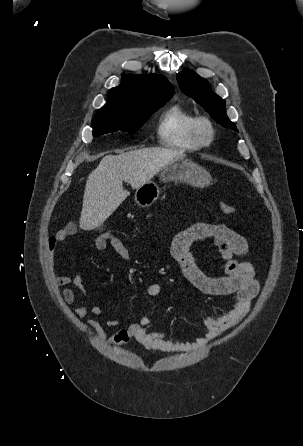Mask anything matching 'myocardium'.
<instances>
[{"label": "myocardium", "instance_id": "obj_1", "mask_svg": "<svg viewBox=\"0 0 303 446\" xmlns=\"http://www.w3.org/2000/svg\"><path fill=\"white\" fill-rule=\"evenodd\" d=\"M193 136L201 147L210 146L216 136L213 122L206 116L196 117L193 128Z\"/></svg>", "mask_w": 303, "mask_h": 446}]
</instances>
